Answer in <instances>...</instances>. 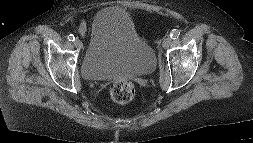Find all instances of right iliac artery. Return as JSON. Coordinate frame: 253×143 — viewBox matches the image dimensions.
<instances>
[{
	"mask_svg": "<svg viewBox=\"0 0 253 143\" xmlns=\"http://www.w3.org/2000/svg\"><path fill=\"white\" fill-rule=\"evenodd\" d=\"M68 40L71 41V42H73L75 40L74 35L73 34H69L68 35Z\"/></svg>",
	"mask_w": 253,
	"mask_h": 143,
	"instance_id": "obj_1",
	"label": "right iliac artery"
}]
</instances>
